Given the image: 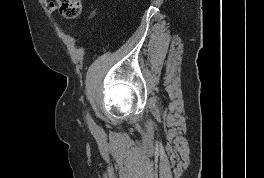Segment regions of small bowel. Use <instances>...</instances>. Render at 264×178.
Listing matches in <instances>:
<instances>
[{"instance_id":"small-bowel-1","label":"small bowel","mask_w":264,"mask_h":178,"mask_svg":"<svg viewBox=\"0 0 264 178\" xmlns=\"http://www.w3.org/2000/svg\"><path fill=\"white\" fill-rule=\"evenodd\" d=\"M43 1L46 2V0H43ZM49 10H50V11H54V10H55V6H54V5H50V6H49Z\"/></svg>"}]
</instances>
